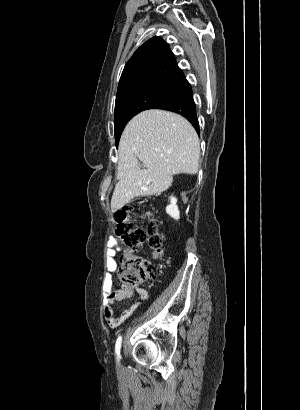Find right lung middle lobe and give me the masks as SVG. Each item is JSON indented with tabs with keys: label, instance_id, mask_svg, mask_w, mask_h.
Here are the masks:
<instances>
[{
	"label": "right lung middle lobe",
	"instance_id": "right-lung-middle-lobe-1",
	"mask_svg": "<svg viewBox=\"0 0 300 410\" xmlns=\"http://www.w3.org/2000/svg\"><path fill=\"white\" fill-rule=\"evenodd\" d=\"M188 85L187 82L140 83L117 93L114 117L116 145L125 125L133 116L147 109H159L172 102Z\"/></svg>",
	"mask_w": 300,
	"mask_h": 410
}]
</instances>
